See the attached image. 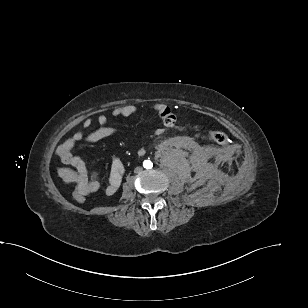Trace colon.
<instances>
[{"label":"colon","mask_w":308,"mask_h":308,"mask_svg":"<svg viewBox=\"0 0 308 308\" xmlns=\"http://www.w3.org/2000/svg\"><path fill=\"white\" fill-rule=\"evenodd\" d=\"M161 118L163 122L167 123L168 125H172L175 121V117L170 110H165L161 114ZM209 137L212 141L220 145H225L228 142V137L226 136L225 133L221 131H217V130L210 131ZM87 195L88 194L85 191L77 187L75 188L73 192V197L75 198L77 202H80V203L85 202Z\"/></svg>","instance_id":"5ec220e1"}]
</instances>
